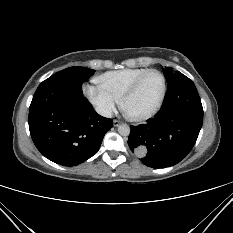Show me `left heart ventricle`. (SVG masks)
<instances>
[{"label": "left heart ventricle", "mask_w": 233, "mask_h": 233, "mask_svg": "<svg viewBox=\"0 0 233 233\" xmlns=\"http://www.w3.org/2000/svg\"><path fill=\"white\" fill-rule=\"evenodd\" d=\"M162 91V79L157 73H151L142 81L137 92L129 98L126 110L135 115L150 111L158 102Z\"/></svg>", "instance_id": "b2bd125f"}]
</instances>
